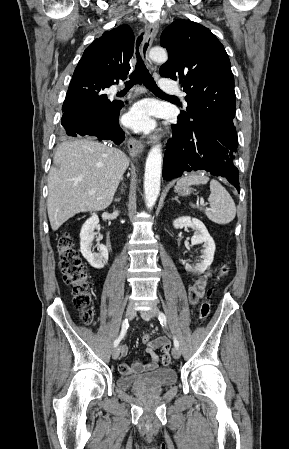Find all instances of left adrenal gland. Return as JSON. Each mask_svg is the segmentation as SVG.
I'll use <instances>...</instances> for the list:
<instances>
[{"label": "left adrenal gland", "mask_w": 289, "mask_h": 449, "mask_svg": "<svg viewBox=\"0 0 289 449\" xmlns=\"http://www.w3.org/2000/svg\"><path fill=\"white\" fill-rule=\"evenodd\" d=\"M172 200H176L177 202H179V200H178V198H177V197H175V198H172Z\"/></svg>", "instance_id": "a2214340"}]
</instances>
